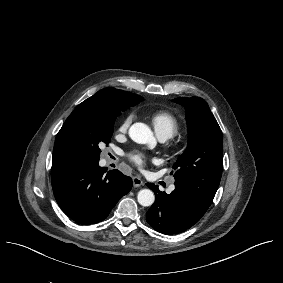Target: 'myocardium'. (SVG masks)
I'll use <instances>...</instances> for the list:
<instances>
[{
    "label": "myocardium",
    "instance_id": "myocardium-1",
    "mask_svg": "<svg viewBox=\"0 0 283 283\" xmlns=\"http://www.w3.org/2000/svg\"><path fill=\"white\" fill-rule=\"evenodd\" d=\"M169 147L174 151H179L181 148V145L179 142H173L169 144Z\"/></svg>",
    "mask_w": 283,
    "mask_h": 283
}]
</instances>
